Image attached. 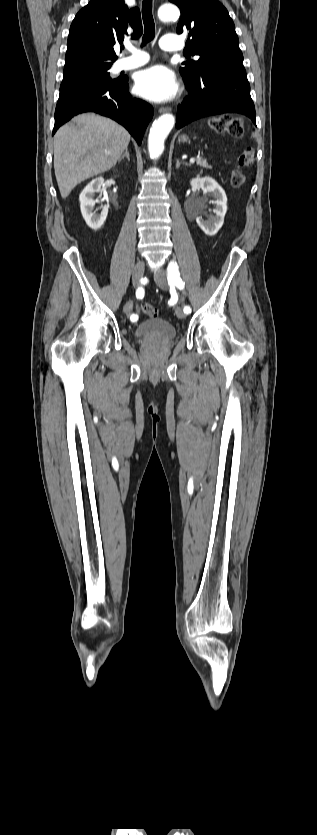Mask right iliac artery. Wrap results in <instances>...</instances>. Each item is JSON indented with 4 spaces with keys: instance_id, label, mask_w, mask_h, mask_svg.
<instances>
[{
    "instance_id": "obj_1",
    "label": "right iliac artery",
    "mask_w": 317,
    "mask_h": 835,
    "mask_svg": "<svg viewBox=\"0 0 317 835\" xmlns=\"http://www.w3.org/2000/svg\"><path fill=\"white\" fill-rule=\"evenodd\" d=\"M144 293H145V292H144V289H143L142 287H139V288L136 290V297H137L138 299H142V298L144 297ZM137 319H138V316H137V315H135V314H133V315H131V316H130V320H131V321H136Z\"/></svg>"
}]
</instances>
